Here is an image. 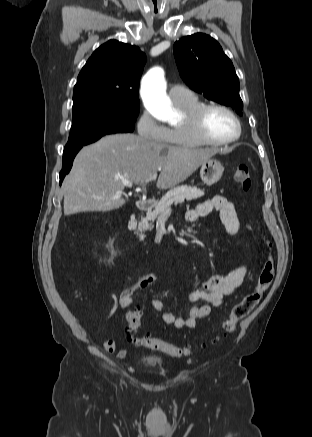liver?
Segmentation results:
<instances>
[{"label":"liver","mask_w":312,"mask_h":437,"mask_svg":"<svg viewBox=\"0 0 312 437\" xmlns=\"http://www.w3.org/2000/svg\"><path fill=\"white\" fill-rule=\"evenodd\" d=\"M217 152L161 144L134 134L104 136L75 157L62 184L64 214L118 209L125 204L122 180L145 182L157 171V188H172Z\"/></svg>","instance_id":"6515ba94"}]
</instances>
